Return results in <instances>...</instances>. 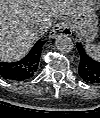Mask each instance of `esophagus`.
<instances>
[{
    "label": "esophagus",
    "instance_id": "34e87169",
    "mask_svg": "<svg viewBox=\"0 0 100 118\" xmlns=\"http://www.w3.org/2000/svg\"><path fill=\"white\" fill-rule=\"evenodd\" d=\"M72 30L67 22H59L55 24L49 32V37L54 39L59 36H70Z\"/></svg>",
    "mask_w": 100,
    "mask_h": 118
}]
</instances>
